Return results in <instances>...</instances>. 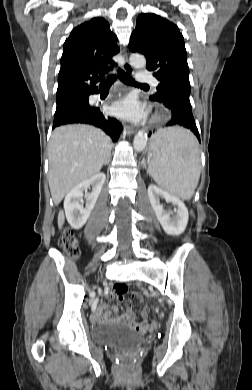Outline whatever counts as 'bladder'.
I'll return each instance as SVG.
<instances>
[{"label": "bladder", "mask_w": 252, "mask_h": 390, "mask_svg": "<svg viewBox=\"0 0 252 390\" xmlns=\"http://www.w3.org/2000/svg\"><path fill=\"white\" fill-rule=\"evenodd\" d=\"M92 339L98 344L119 347H133L144 341L143 336L115 323L94 324Z\"/></svg>", "instance_id": "31cf9c89"}]
</instances>
